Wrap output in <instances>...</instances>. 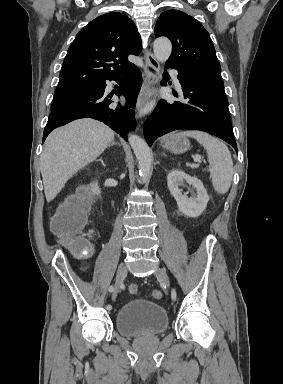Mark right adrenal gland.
<instances>
[{
  "mask_svg": "<svg viewBox=\"0 0 283 384\" xmlns=\"http://www.w3.org/2000/svg\"><path fill=\"white\" fill-rule=\"evenodd\" d=\"M110 146H121V144H118V142H114V140H113V142H112V144H110Z\"/></svg>",
  "mask_w": 283,
  "mask_h": 384,
  "instance_id": "1",
  "label": "right adrenal gland"
}]
</instances>
